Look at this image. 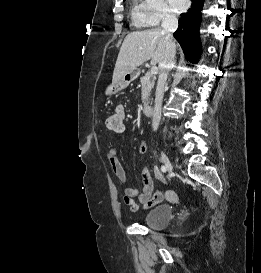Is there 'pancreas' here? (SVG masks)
I'll return each mask as SVG.
<instances>
[{"label":"pancreas","mask_w":261,"mask_h":273,"mask_svg":"<svg viewBox=\"0 0 261 273\" xmlns=\"http://www.w3.org/2000/svg\"><path fill=\"white\" fill-rule=\"evenodd\" d=\"M155 80V75L151 74L150 72H146L144 76L140 77V82L142 85V102L144 104H148L149 102V95L155 85Z\"/></svg>","instance_id":"1"}]
</instances>
